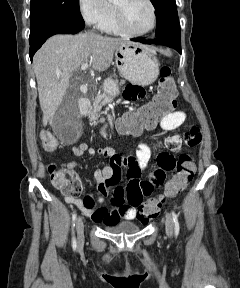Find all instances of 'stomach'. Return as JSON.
I'll return each instance as SVG.
<instances>
[{
  "label": "stomach",
  "mask_w": 240,
  "mask_h": 288,
  "mask_svg": "<svg viewBox=\"0 0 240 288\" xmlns=\"http://www.w3.org/2000/svg\"><path fill=\"white\" fill-rule=\"evenodd\" d=\"M114 56V63L121 75L135 85H150L158 77L156 53L147 46L124 44L115 50ZM103 89L108 95L119 93L118 86L111 79L104 82Z\"/></svg>",
  "instance_id": "obj_1"
}]
</instances>
